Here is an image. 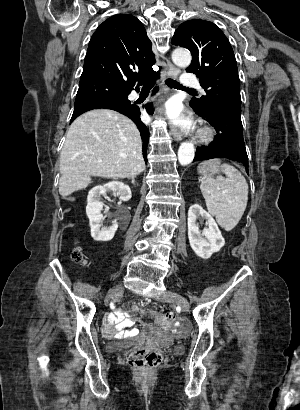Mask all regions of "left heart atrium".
<instances>
[{
	"mask_svg": "<svg viewBox=\"0 0 300 410\" xmlns=\"http://www.w3.org/2000/svg\"><path fill=\"white\" fill-rule=\"evenodd\" d=\"M164 115L171 125L182 130H190L193 127L191 121L182 114L180 106L176 103H168L165 106Z\"/></svg>",
	"mask_w": 300,
	"mask_h": 410,
	"instance_id": "obj_1",
	"label": "left heart atrium"
}]
</instances>
